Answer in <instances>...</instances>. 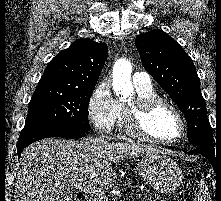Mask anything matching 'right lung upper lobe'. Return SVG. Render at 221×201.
Segmentation results:
<instances>
[{"label":"right lung upper lobe","mask_w":221,"mask_h":201,"mask_svg":"<svg viewBox=\"0 0 221 201\" xmlns=\"http://www.w3.org/2000/svg\"><path fill=\"white\" fill-rule=\"evenodd\" d=\"M107 54L105 43L77 40L49 62L36 89L93 90Z\"/></svg>","instance_id":"cb5924a9"}]
</instances>
